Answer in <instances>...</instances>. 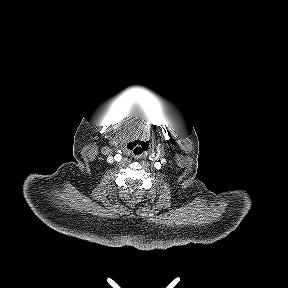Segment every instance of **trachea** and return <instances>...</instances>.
<instances>
[{
	"mask_svg": "<svg viewBox=\"0 0 288 288\" xmlns=\"http://www.w3.org/2000/svg\"><path fill=\"white\" fill-rule=\"evenodd\" d=\"M149 144L141 139H133L127 143L128 150L133 156L139 157L143 155L148 150Z\"/></svg>",
	"mask_w": 288,
	"mask_h": 288,
	"instance_id": "trachea-1",
	"label": "trachea"
}]
</instances>
